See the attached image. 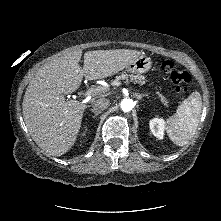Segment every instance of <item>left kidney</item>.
<instances>
[{
    "instance_id": "left-kidney-1",
    "label": "left kidney",
    "mask_w": 221,
    "mask_h": 221,
    "mask_svg": "<svg viewBox=\"0 0 221 221\" xmlns=\"http://www.w3.org/2000/svg\"><path fill=\"white\" fill-rule=\"evenodd\" d=\"M152 134L158 139H163L165 130V121L159 118H153L149 122Z\"/></svg>"
}]
</instances>
